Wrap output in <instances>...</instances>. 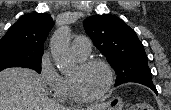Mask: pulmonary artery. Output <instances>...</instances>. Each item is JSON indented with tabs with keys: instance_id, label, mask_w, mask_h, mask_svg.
I'll return each instance as SVG.
<instances>
[{
	"instance_id": "pulmonary-artery-1",
	"label": "pulmonary artery",
	"mask_w": 171,
	"mask_h": 110,
	"mask_svg": "<svg viewBox=\"0 0 171 110\" xmlns=\"http://www.w3.org/2000/svg\"><path fill=\"white\" fill-rule=\"evenodd\" d=\"M92 49V42L87 37L77 36L72 42V51L75 55L85 58Z\"/></svg>"
}]
</instances>
